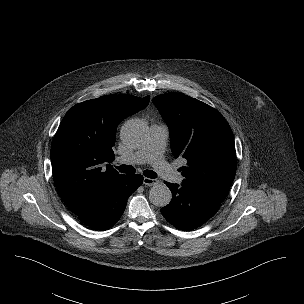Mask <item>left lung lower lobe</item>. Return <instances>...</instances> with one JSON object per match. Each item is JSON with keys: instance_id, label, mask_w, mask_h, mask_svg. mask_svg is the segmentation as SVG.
Listing matches in <instances>:
<instances>
[{"instance_id": "0a47b994", "label": "left lung lower lobe", "mask_w": 304, "mask_h": 304, "mask_svg": "<svg viewBox=\"0 0 304 304\" xmlns=\"http://www.w3.org/2000/svg\"><path fill=\"white\" fill-rule=\"evenodd\" d=\"M172 192L171 202L161 209L162 215L174 227L188 231L209 220L221 202L191 189L165 182Z\"/></svg>"}]
</instances>
